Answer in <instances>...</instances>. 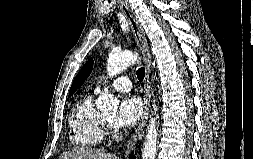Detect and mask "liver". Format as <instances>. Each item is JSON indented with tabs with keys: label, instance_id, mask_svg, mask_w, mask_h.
I'll use <instances>...</instances> for the list:
<instances>
[{
	"label": "liver",
	"instance_id": "1",
	"mask_svg": "<svg viewBox=\"0 0 253 159\" xmlns=\"http://www.w3.org/2000/svg\"><path fill=\"white\" fill-rule=\"evenodd\" d=\"M59 159H119V157L103 149L80 147L64 152Z\"/></svg>",
	"mask_w": 253,
	"mask_h": 159
}]
</instances>
